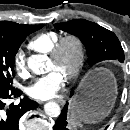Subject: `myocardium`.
Instances as JSON below:
<instances>
[{
    "instance_id": "myocardium-1",
    "label": "myocardium",
    "mask_w": 130,
    "mask_h": 130,
    "mask_svg": "<svg viewBox=\"0 0 130 130\" xmlns=\"http://www.w3.org/2000/svg\"><path fill=\"white\" fill-rule=\"evenodd\" d=\"M68 43H72L75 46L76 59L71 69L65 74V77L73 79L82 70L86 55L84 42L78 35L66 34L60 37L49 52V56L52 61L58 62L61 59L65 45Z\"/></svg>"
}]
</instances>
